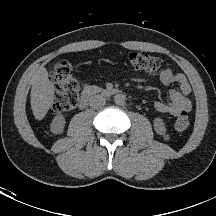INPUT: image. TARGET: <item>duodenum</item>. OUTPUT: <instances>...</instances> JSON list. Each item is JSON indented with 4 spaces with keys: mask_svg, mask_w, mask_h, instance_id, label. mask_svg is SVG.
<instances>
[{
    "mask_svg": "<svg viewBox=\"0 0 216 216\" xmlns=\"http://www.w3.org/2000/svg\"><path fill=\"white\" fill-rule=\"evenodd\" d=\"M98 94H102L105 96L118 95L120 94V90L115 88L97 89V88L89 87L84 91V93L82 94L79 100L78 103L79 108L84 109L85 107H87L90 100Z\"/></svg>",
    "mask_w": 216,
    "mask_h": 216,
    "instance_id": "410a0bca",
    "label": "duodenum"
}]
</instances>
